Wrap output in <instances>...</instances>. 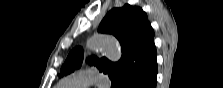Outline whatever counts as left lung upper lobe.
Instances as JSON below:
<instances>
[{"label": "left lung upper lobe", "mask_w": 223, "mask_h": 88, "mask_svg": "<svg viewBox=\"0 0 223 88\" xmlns=\"http://www.w3.org/2000/svg\"><path fill=\"white\" fill-rule=\"evenodd\" d=\"M98 32L114 35L121 44L122 57L116 63L95 56L88 59L100 72L108 74L112 88H116L131 75L142 72L156 59L154 31L140 7L126 4L121 8H113L100 23ZM82 62V48L76 47L69 53L59 76L73 72Z\"/></svg>", "instance_id": "left-lung-upper-lobe-1"}]
</instances>
